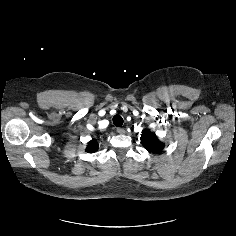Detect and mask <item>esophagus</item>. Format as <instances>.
<instances>
[{"mask_svg":"<svg viewBox=\"0 0 236 236\" xmlns=\"http://www.w3.org/2000/svg\"><path fill=\"white\" fill-rule=\"evenodd\" d=\"M117 133L119 134H124L125 133V130L123 128H117Z\"/></svg>","mask_w":236,"mask_h":236,"instance_id":"esophagus-1","label":"esophagus"}]
</instances>
